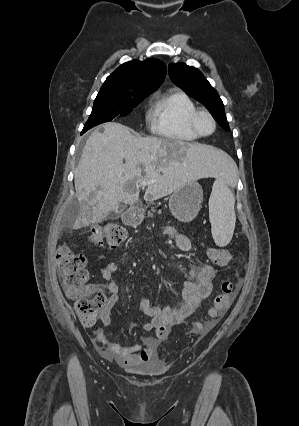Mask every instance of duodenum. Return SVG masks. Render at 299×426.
Here are the masks:
<instances>
[{"instance_id":"obj_1","label":"duodenum","mask_w":299,"mask_h":426,"mask_svg":"<svg viewBox=\"0 0 299 426\" xmlns=\"http://www.w3.org/2000/svg\"><path fill=\"white\" fill-rule=\"evenodd\" d=\"M137 219V213L135 209H129L125 214H124V221L127 224H133Z\"/></svg>"}]
</instances>
